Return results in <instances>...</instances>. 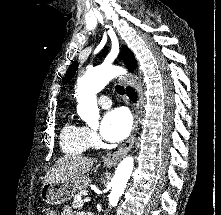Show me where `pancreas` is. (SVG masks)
<instances>
[{
	"mask_svg": "<svg viewBox=\"0 0 221 215\" xmlns=\"http://www.w3.org/2000/svg\"><path fill=\"white\" fill-rule=\"evenodd\" d=\"M85 196L88 195V191L87 190H82L81 192H79L73 200L72 203V207L73 209H77V208H81L83 206V201L79 198L80 196Z\"/></svg>",
	"mask_w": 221,
	"mask_h": 215,
	"instance_id": "pancreas-1",
	"label": "pancreas"
}]
</instances>
